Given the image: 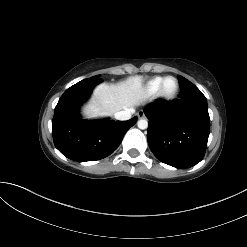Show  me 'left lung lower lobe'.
Here are the masks:
<instances>
[{"label":"left lung lower lobe","mask_w":247,"mask_h":247,"mask_svg":"<svg viewBox=\"0 0 247 247\" xmlns=\"http://www.w3.org/2000/svg\"><path fill=\"white\" fill-rule=\"evenodd\" d=\"M148 144L156 158L176 168L199 163L206 151L210 117L205 96L194 85L172 102L156 100L144 108Z\"/></svg>","instance_id":"0a47b994"}]
</instances>
